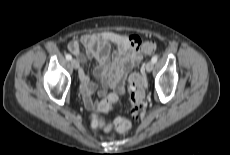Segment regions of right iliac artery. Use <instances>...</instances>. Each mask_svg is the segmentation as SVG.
<instances>
[{
    "label": "right iliac artery",
    "mask_w": 230,
    "mask_h": 155,
    "mask_svg": "<svg viewBox=\"0 0 230 155\" xmlns=\"http://www.w3.org/2000/svg\"><path fill=\"white\" fill-rule=\"evenodd\" d=\"M66 59H67V60H71V59H72V56H71L70 54H67V55H66Z\"/></svg>",
    "instance_id": "right-iliac-artery-1"
}]
</instances>
